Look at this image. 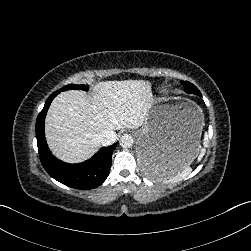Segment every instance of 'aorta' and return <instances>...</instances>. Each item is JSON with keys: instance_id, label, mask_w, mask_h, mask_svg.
<instances>
[{"instance_id": "1", "label": "aorta", "mask_w": 251, "mask_h": 251, "mask_svg": "<svg viewBox=\"0 0 251 251\" xmlns=\"http://www.w3.org/2000/svg\"><path fill=\"white\" fill-rule=\"evenodd\" d=\"M119 143H120L121 147L129 148L133 145L134 139L131 135L124 134L121 136Z\"/></svg>"}]
</instances>
